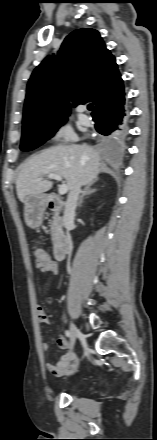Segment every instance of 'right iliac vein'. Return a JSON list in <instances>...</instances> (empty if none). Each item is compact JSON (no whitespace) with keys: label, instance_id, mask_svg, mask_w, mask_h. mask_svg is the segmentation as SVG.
<instances>
[{"label":"right iliac vein","instance_id":"right-iliac-vein-1","mask_svg":"<svg viewBox=\"0 0 157 440\" xmlns=\"http://www.w3.org/2000/svg\"><path fill=\"white\" fill-rule=\"evenodd\" d=\"M70 332H71V336H70L71 347L73 348L75 346L77 337L80 335V331L72 322H70Z\"/></svg>","mask_w":157,"mask_h":440}]
</instances>
